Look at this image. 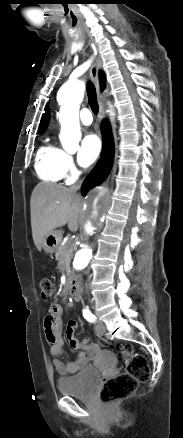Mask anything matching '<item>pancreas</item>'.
Masks as SVG:
<instances>
[{"label": "pancreas", "instance_id": "obj_1", "mask_svg": "<svg viewBox=\"0 0 183 438\" xmlns=\"http://www.w3.org/2000/svg\"><path fill=\"white\" fill-rule=\"evenodd\" d=\"M73 257V248L71 243L68 241L64 245H59L56 251V259L65 265L66 269L70 268L71 258Z\"/></svg>", "mask_w": 183, "mask_h": 438}]
</instances>
